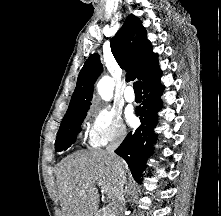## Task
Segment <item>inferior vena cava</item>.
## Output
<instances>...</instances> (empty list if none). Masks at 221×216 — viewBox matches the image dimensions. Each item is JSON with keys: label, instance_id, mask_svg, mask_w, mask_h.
<instances>
[{"label": "inferior vena cava", "instance_id": "602c4592", "mask_svg": "<svg viewBox=\"0 0 221 216\" xmlns=\"http://www.w3.org/2000/svg\"><path fill=\"white\" fill-rule=\"evenodd\" d=\"M125 137V133H121L114 142L106 147V152L113 158L115 169L118 174L117 202L114 206L113 216H124V185L126 183V174L122 161L115 155V149L120 145Z\"/></svg>", "mask_w": 221, "mask_h": 216}]
</instances>
